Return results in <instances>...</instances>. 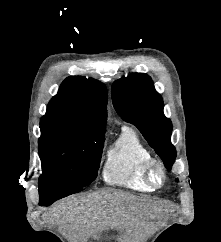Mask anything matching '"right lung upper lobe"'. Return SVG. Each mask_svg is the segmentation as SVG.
<instances>
[{"instance_id": "obj_1", "label": "right lung upper lobe", "mask_w": 221, "mask_h": 242, "mask_svg": "<svg viewBox=\"0 0 221 242\" xmlns=\"http://www.w3.org/2000/svg\"><path fill=\"white\" fill-rule=\"evenodd\" d=\"M107 99L101 82L82 76L68 77L48 104L40 128H67L104 137Z\"/></svg>"}]
</instances>
